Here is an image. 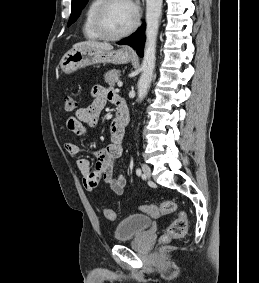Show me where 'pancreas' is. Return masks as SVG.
<instances>
[{"mask_svg":"<svg viewBox=\"0 0 259 283\" xmlns=\"http://www.w3.org/2000/svg\"><path fill=\"white\" fill-rule=\"evenodd\" d=\"M120 73L121 72L116 69L106 72L104 75L105 82L108 83L110 86H114L115 83L118 81Z\"/></svg>","mask_w":259,"mask_h":283,"instance_id":"obj_1","label":"pancreas"}]
</instances>
